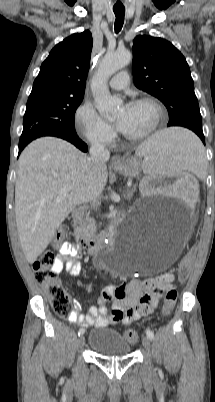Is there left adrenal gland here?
Listing matches in <instances>:
<instances>
[{"mask_svg": "<svg viewBox=\"0 0 215 402\" xmlns=\"http://www.w3.org/2000/svg\"><path fill=\"white\" fill-rule=\"evenodd\" d=\"M134 192H135V188H132L131 190H129L127 192L126 198L131 200V198L133 197Z\"/></svg>", "mask_w": 215, "mask_h": 402, "instance_id": "1", "label": "left adrenal gland"}]
</instances>
